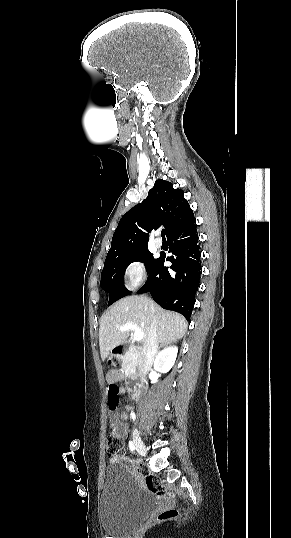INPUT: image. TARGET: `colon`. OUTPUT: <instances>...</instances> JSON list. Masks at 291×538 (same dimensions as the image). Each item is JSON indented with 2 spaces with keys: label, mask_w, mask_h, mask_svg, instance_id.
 Segmentation results:
<instances>
[{
  "label": "colon",
  "mask_w": 291,
  "mask_h": 538,
  "mask_svg": "<svg viewBox=\"0 0 291 538\" xmlns=\"http://www.w3.org/2000/svg\"><path fill=\"white\" fill-rule=\"evenodd\" d=\"M109 364L111 366H117L120 364L121 359L117 356H111L109 358ZM119 388L115 384H111L108 387V403L110 408H115L119 403ZM123 447V438H121L115 430H113L107 439L106 452L109 456L117 455ZM145 479L146 485L150 491L158 496H166V491L161 478L148 473L146 470L140 469L138 471ZM177 515V511L169 509L161 512L157 516L158 521H164L173 518Z\"/></svg>",
  "instance_id": "5ec220e1"
}]
</instances>
